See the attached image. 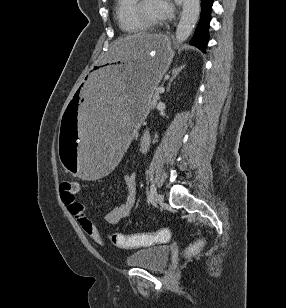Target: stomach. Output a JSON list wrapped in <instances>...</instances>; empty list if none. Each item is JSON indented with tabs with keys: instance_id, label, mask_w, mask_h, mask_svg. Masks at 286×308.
Returning <instances> with one entry per match:
<instances>
[{
	"instance_id": "1",
	"label": "stomach",
	"mask_w": 286,
	"mask_h": 308,
	"mask_svg": "<svg viewBox=\"0 0 286 308\" xmlns=\"http://www.w3.org/2000/svg\"><path fill=\"white\" fill-rule=\"evenodd\" d=\"M173 56L166 35L148 34L129 36L95 60L60 118L58 153L66 173L81 182H104L116 173Z\"/></svg>"
}]
</instances>
